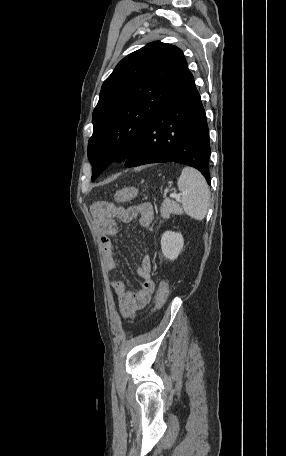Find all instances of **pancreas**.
I'll use <instances>...</instances> for the list:
<instances>
[{"label": "pancreas", "instance_id": "cf45deb5", "mask_svg": "<svg viewBox=\"0 0 286 456\" xmlns=\"http://www.w3.org/2000/svg\"><path fill=\"white\" fill-rule=\"evenodd\" d=\"M160 213L164 219H167L170 214L182 215L183 210L177 202L165 199L161 205Z\"/></svg>", "mask_w": 286, "mask_h": 456}]
</instances>
